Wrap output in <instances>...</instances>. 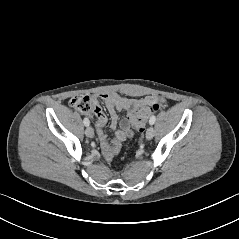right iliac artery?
Instances as JSON below:
<instances>
[{
    "instance_id": "obj_1",
    "label": "right iliac artery",
    "mask_w": 239,
    "mask_h": 239,
    "mask_svg": "<svg viewBox=\"0 0 239 239\" xmlns=\"http://www.w3.org/2000/svg\"><path fill=\"white\" fill-rule=\"evenodd\" d=\"M83 123L85 126H89L90 122L87 118H84Z\"/></svg>"
}]
</instances>
